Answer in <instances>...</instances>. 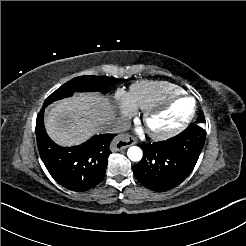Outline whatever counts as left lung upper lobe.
Masks as SVG:
<instances>
[{
    "label": "left lung upper lobe",
    "instance_id": "obj_1",
    "mask_svg": "<svg viewBox=\"0 0 246 246\" xmlns=\"http://www.w3.org/2000/svg\"><path fill=\"white\" fill-rule=\"evenodd\" d=\"M204 123H205V117L203 111H200L195 124H198L203 127Z\"/></svg>",
    "mask_w": 246,
    "mask_h": 246
}]
</instances>
